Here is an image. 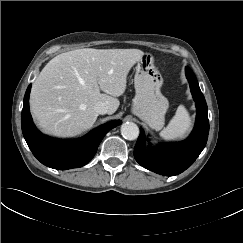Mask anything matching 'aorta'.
I'll use <instances>...</instances> for the list:
<instances>
[{"label":"aorta","instance_id":"762f6f07","mask_svg":"<svg viewBox=\"0 0 243 243\" xmlns=\"http://www.w3.org/2000/svg\"><path fill=\"white\" fill-rule=\"evenodd\" d=\"M121 135L127 140H135L139 136V128L133 122H125L121 125Z\"/></svg>","mask_w":243,"mask_h":243}]
</instances>
